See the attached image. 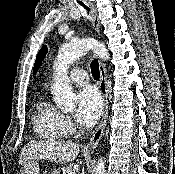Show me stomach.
Segmentation results:
<instances>
[{
	"mask_svg": "<svg viewBox=\"0 0 175 174\" xmlns=\"http://www.w3.org/2000/svg\"><path fill=\"white\" fill-rule=\"evenodd\" d=\"M59 174L58 171L55 172ZM20 174H39V165L36 161H31L23 165Z\"/></svg>",
	"mask_w": 175,
	"mask_h": 174,
	"instance_id": "obj_1",
	"label": "stomach"
}]
</instances>
